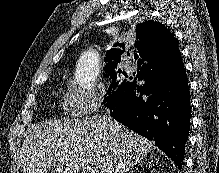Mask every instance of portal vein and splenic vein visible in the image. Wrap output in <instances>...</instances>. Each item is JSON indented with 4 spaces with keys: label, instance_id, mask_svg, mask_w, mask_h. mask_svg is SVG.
<instances>
[{
    "label": "portal vein and splenic vein",
    "instance_id": "18ae733b",
    "mask_svg": "<svg viewBox=\"0 0 219 173\" xmlns=\"http://www.w3.org/2000/svg\"><path fill=\"white\" fill-rule=\"evenodd\" d=\"M89 172H90V173H95L93 170H90V169H89Z\"/></svg>",
    "mask_w": 219,
    "mask_h": 173
}]
</instances>
